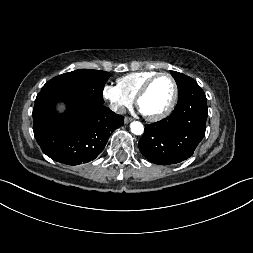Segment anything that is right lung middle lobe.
Wrapping results in <instances>:
<instances>
[{
    "label": "right lung middle lobe",
    "mask_w": 253,
    "mask_h": 253,
    "mask_svg": "<svg viewBox=\"0 0 253 253\" xmlns=\"http://www.w3.org/2000/svg\"><path fill=\"white\" fill-rule=\"evenodd\" d=\"M110 76L105 71L79 69L51 79L43 86L41 91L76 94L104 103L102 91Z\"/></svg>",
    "instance_id": "1"
}]
</instances>
